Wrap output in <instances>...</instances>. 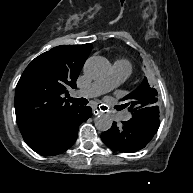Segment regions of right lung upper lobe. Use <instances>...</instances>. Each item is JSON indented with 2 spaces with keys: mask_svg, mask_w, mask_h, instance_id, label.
Masks as SVG:
<instances>
[{
  "mask_svg": "<svg viewBox=\"0 0 193 193\" xmlns=\"http://www.w3.org/2000/svg\"><path fill=\"white\" fill-rule=\"evenodd\" d=\"M92 44L58 46L36 57L23 72L15 91V112L25 142L54 136L81 108L64 94L76 80Z\"/></svg>",
  "mask_w": 193,
  "mask_h": 193,
  "instance_id": "1",
  "label": "right lung upper lobe"
}]
</instances>
